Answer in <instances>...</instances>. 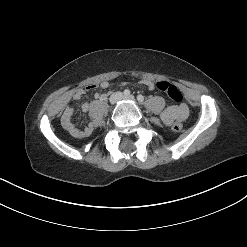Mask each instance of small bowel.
<instances>
[{
  "label": "small bowel",
  "mask_w": 247,
  "mask_h": 247,
  "mask_svg": "<svg viewBox=\"0 0 247 247\" xmlns=\"http://www.w3.org/2000/svg\"><path fill=\"white\" fill-rule=\"evenodd\" d=\"M142 84L150 91L155 89V84L151 80H143ZM101 88H107L109 86L108 81H102L99 84H90L86 88H80L76 90L73 95L71 96V102H75L80 100L86 93V91L94 90L97 87ZM104 97V95L95 93L94 94V100H98ZM90 108V103L86 102L82 105V112L87 113ZM74 112V108L72 104H69L66 109L64 110L62 117H61V123L62 126L65 128V130L76 138H84L91 134L93 130V124L89 123L84 129H78L74 126L72 122V115ZM189 110L186 104H178V105H172L167 107L161 114V118L163 122L170 126L174 121H184L188 116Z\"/></svg>",
  "instance_id": "obj_1"
}]
</instances>
